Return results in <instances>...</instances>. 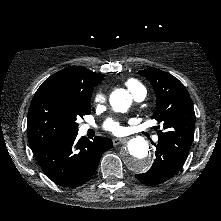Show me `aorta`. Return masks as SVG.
Segmentation results:
<instances>
[{
  "label": "aorta",
  "instance_id": "aorta-1",
  "mask_svg": "<svg viewBox=\"0 0 221 221\" xmlns=\"http://www.w3.org/2000/svg\"><path fill=\"white\" fill-rule=\"evenodd\" d=\"M109 101L113 110L124 112L131 105V96L125 89H116L111 93ZM122 160L135 173L146 172L151 167L148 142L140 136L130 139L122 153Z\"/></svg>",
  "mask_w": 221,
  "mask_h": 221
}]
</instances>
